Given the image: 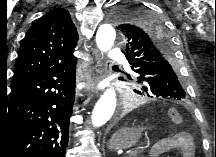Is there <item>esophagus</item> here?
Returning a JSON list of instances; mask_svg holds the SVG:
<instances>
[{
  "label": "esophagus",
  "mask_w": 216,
  "mask_h": 157,
  "mask_svg": "<svg viewBox=\"0 0 216 157\" xmlns=\"http://www.w3.org/2000/svg\"><path fill=\"white\" fill-rule=\"evenodd\" d=\"M95 71L89 72L88 80H87V90L89 92H94L97 89V83L102 79L103 72V64L101 62V58L99 55H95Z\"/></svg>",
  "instance_id": "esophagus-1"
}]
</instances>
